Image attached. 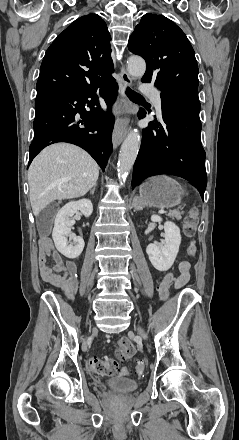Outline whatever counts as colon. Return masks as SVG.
I'll return each instance as SVG.
<instances>
[{
  "mask_svg": "<svg viewBox=\"0 0 239 440\" xmlns=\"http://www.w3.org/2000/svg\"><path fill=\"white\" fill-rule=\"evenodd\" d=\"M198 224V214L196 210H191L185 218L183 230L184 234L191 238L195 235ZM197 251V247L195 242H190L187 247V254L190 257L195 256ZM173 275H167L160 284L159 287V295L163 300H167L169 297V288L171 283L173 282ZM118 349L123 358H128L133 355L134 348L131 342L126 338H121L118 340ZM144 362L142 360H138L136 363V373L141 374L144 371ZM89 368L92 372L99 375H113L116 373L127 374L129 370L122 366L119 360L116 359H98L91 358L89 360Z\"/></svg>",
  "mask_w": 239,
  "mask_h": 440,
  "instance_id": "1",
  "label": "colon"
}]
</instances>
